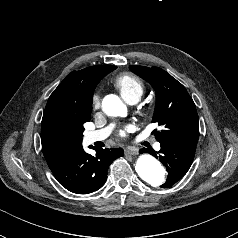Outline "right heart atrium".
Wrapping results in <instances>:
<instances>
[{"label": "right heart atrium", "instance_id": "d8ad5b80", "mask_svg": "<svg viewBox=\"0 0 238 238\" xmlns=\"http://www.w3.org/2000/svg\"><path fill=\"white\" fill-rule=\"evenodd\" d=\"M99 104H100L99 96L97 94H94L92 97V106L96 108L99 106Z\"/></svg>", "mask_w": 238, "mask_h": 238}]
</instances>
